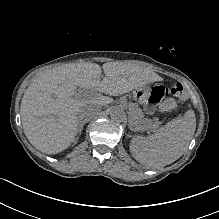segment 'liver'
I'll use <instances>...</instances> for the list:
<instances>
[{"label":"liver","mask_w":219,"mask_h":219,"mask_svg":"<svg viewBox=\"0 0 219 219\" xmlns=\"http://www.w3.org/2000/svg\"><path fill=\"white\" fill-rule=\"evenodd\" d=\"M66 64L41 72L24 92L20 115L29 142L46 154H57L74 142L81 117L91 119L107 105L101 94L118 96L150 81L147 69L135 64ZM85 98H76V87ZM74 96V97H73Z\"/></svg>","instance_id":"6515ba94"}]
</instances>
